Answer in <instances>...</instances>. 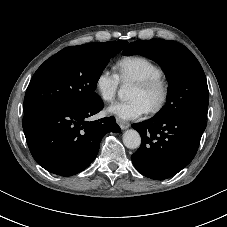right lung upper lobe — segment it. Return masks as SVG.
I'll return each mask as SVG.
<instances>
[{
	"label": "right lung upper lobe",
	"mask_w": 227,
	"mask_h": 227,
	"mask_svg": "<svg viewBox=\"0 0 227 227\" xmlns=\"http://www.w3.org/2000/svg\"><path fill=\"white\" fill-rule=\"evenodd\" d=\"M96 43V42H95ZM95 43H89V44H84L83 46H86V47H89V46H92L93 44ZM128 42L126 40H123V48L126 46Z\"/></svg>",
	"instance_id": "right-lung-upper-lobe-1"
}]
</instances>
